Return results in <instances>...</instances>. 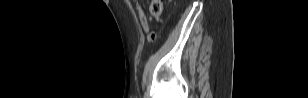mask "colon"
I'll return each instance as SVG.
<instances>
[{"mask_svg":"<svg viewBox=\"0 0 308 98\" xmlns=\"http://www.w3.org/2000/svg\"><path fill=\"white\" fill-rule=\"evenodd\" d=\"M150 12L153 16L157 17L162 13V3L159 0H154L150 5ZM156 35L154 33H149V40H154Z\"/></svg>","mask_w":308,"mask_h":98,"instance_id":"obj_1","label":"colon"}]
</instances>
